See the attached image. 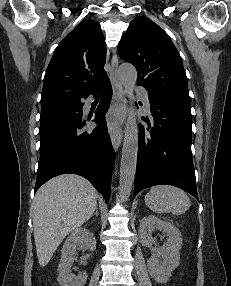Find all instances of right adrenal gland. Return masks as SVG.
<instances>
[{"label": "right adrenal gland", "mask_w": 231, "mask_h": 286, "mask_svg": "<svg viewBox=\"0 0 231 286\" xmlns=\"http://www.w3.org/2000/svg\"><path fill=\"white\" fill-rule=\"evenodd\" d=\"M93 215H96V216H98V215H99L98 207H96V209H95V213H94Z\"/></svg>", "instance_id": "obj_1"}]
</instances>
